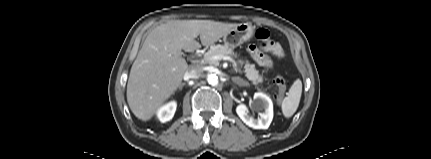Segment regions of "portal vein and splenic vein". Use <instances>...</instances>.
<instances>
[{
    "mask_svg": "<svg viewBox=\"0 0 431 159\" xmlns=\"http://www.w3.org/2000/svg\"><path fill=\"white\" fill-rule=\"evenodd\" d=\"M208 59L213 62H217L218 60H228L234 63V60L230 56H224V55H214L212 57H209Z\"/></svg>",
    "mask_w": 431,
    "mask_h": 159,
    "instance_id": "1",
    "label": "portal vein and splenic vein"
}]
</instances>
